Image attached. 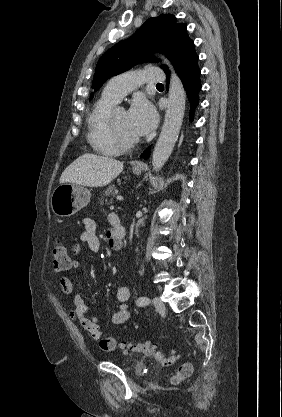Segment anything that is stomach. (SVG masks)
<instances>
[{
  "label": "stomach",
  "mask_w": 282,
  "mask_h": 417,
  "mask_svg": "<svg viewBox=\"0 0 282 417\" xmlns=\"http://www.w3.org/2000/svg\"><path fill=\"white\" fill-rule=\"evenodd\" d=\"M141 166H133L134 174H141ZM90 190L75 182H62L51 194V209L57 217H71L90 200Z\"/></svg>",
  "instance_id": "obj_1"
}]
</instances>
